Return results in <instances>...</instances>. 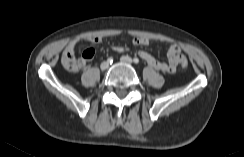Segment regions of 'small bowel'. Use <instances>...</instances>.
Returning a JSON list of instances; mask_svg holds the SVG:
<instances>
[{
    "mask_svg": "<svg viewBox=\"0 0 244 157\" xmlns=\"http://www.w3.org/2000/svg\"><path fill=\"white\" fill-rule=\"evenodd\" d=\"M82 42H89V43H94V44H100L102 42V39L100 37L94 36V37H86L82 39H74L70 41L65 50L68 51H73L76 49V47L82 43ZM133 45L135 46H148L150 45V40L145 37H136L132 40ZM112 50L116 52H125L128 50L126 46H121V45H115L111 47ZM88 53H90L88 55ZM94 50L93 49H87L83 53V57L85 60H90L94 56ZM139 57L151 68L164 72V73H174L176 72L178 66L180 65L181 62V50L179 46L175 43H171L169 45L168 49V61L167 62H161L156 60L150 53L144 50H140L138 52Z\"/></svg>",
    "mask_w": 244,
    "mask_h": 157,
    "instance_id": "small-bowel-1",
    "label": "small bowel"
}]
</instances>
